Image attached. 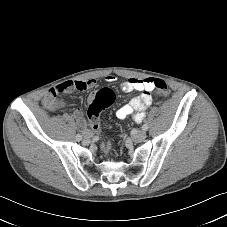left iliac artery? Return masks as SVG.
Returning a JSON list of instances; mask_svg holds the SVG:
<instances>
[{
	"instance_id": "44dca946",
	"label": "left iliac artery",
	"mask_w": 227,
	"mask_h": 227,
	"mask_svg": "<svg viewBox=\"0 0 227 227\" xmlns=\"http://www.w3.org/2000/svg\"><path fill=\"white\" fill-rule=\"evenodd\" d=\"M142 129H143L144 131H147V130H148V124H144V125L142 126Z\"/></svg>"
}]
</instances>
